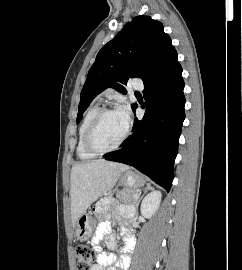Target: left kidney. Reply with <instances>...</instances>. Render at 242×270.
I'll list each match as a JSON object with an SVG mask.
<instances>
[{
    "label": "left kidney",
    "mask_w": 242,
    "mask_h": 270,
    "mask_svg": "<svg viewBox=\"0 0 242 270\" xmlns=\"http://www.w3.org/2000/svg\"><path fill=\"white\" fill-rule=\"evenodd\" d=\"M161 197L162 194L158 190L149 193L141 203V214L146 218H151L159 208Z\"/></svg>",
    "instance_id": "5707ae66"
}]
</instances>
